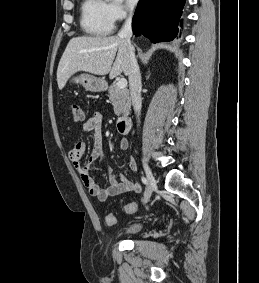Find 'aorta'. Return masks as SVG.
<instances>
[{
    "mask_svg": "<svg viewBox=\"0 0 259 283\" xmlns=\"http://www.w3.org/2000/svg\"><path fill=\"white\" fill-rule=\"evenodd\" d=\"M106 1H110V0H106ZM113 1H116V2H121L122 0H113Z\"/></svg>",
    "mask_w": 259,
    "mask_h": 283,
    "instance_id": "762f6f07",
    "label": "aorta"
}]
</instances>
